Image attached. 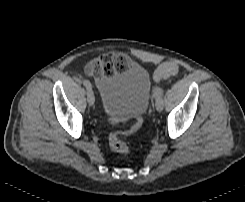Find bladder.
Instances as JSON below:
<instances>
[{
  "mask_svg": "<svg viewBox=\"0 0 245 202\" xmlns=\"http://www.w3.org/2000/svg\"><path fill=\"white\" fill-rule=\"evenodd\" d=\"M95 84L99 106L105 115H117L128 120L146 113L152 97V85L143 66L135 63L116 74L98 75Z\"/></svg>",
  "mask_w": 245,
  "mask_h": 202,
  "instance_id": "bladder-1",
  "label": "bladder"
}]
</instances>
